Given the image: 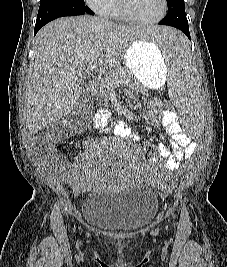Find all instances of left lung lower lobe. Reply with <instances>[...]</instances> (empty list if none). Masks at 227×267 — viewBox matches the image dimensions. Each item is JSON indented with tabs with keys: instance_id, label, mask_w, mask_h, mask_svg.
Returning a JSON list of instances; mask_svg holds the SVG:
<instances>
[{
	"instance_id": "1",
	"label": "left lung lower lobe",
	"mask_w": 227,
	"mask_h": 267,
	"mask_svg": "<svg viewBox=\"0 0 227 267\" xmlns=\"http://www.w3.org/2000/svg\"><path fill=\"white\" fill-rule=\"evenodd\" d=\"M168 11V14L159 22V24L175 27L181 30L190 39L189 25L185 14V5L171 7Z\"/></svg>"
}]
</instances>
